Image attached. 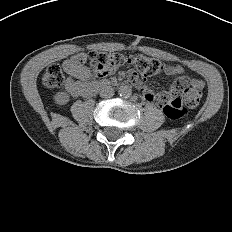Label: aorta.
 Returning <instances> with one entry per match:
<instances>
[{
    "label": "aorta",
    "instance_id": "762f6f07",
    "mask_svg": "<svg viewBox=\"0 0 232 232\" xmlns=\"http://www.w3.org/2000/svg\"><path fill=\"white\" fill-rule=\"evenodd\" d=\"M119 95L123 98H128L132 95V89L128 85H123L119 88Z\"/></svg>",
    "mask_w": 232,
    "mask_h": 232
}]
</instances>
